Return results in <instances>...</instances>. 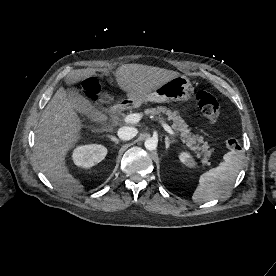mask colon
Segmentation results:
<instances>
[{
	"label": "colon",
	"mask_w": 276,
	"mask_h": 276,
	"mask_svg": "<svg viewBox=\"0 0 276 276\" xmlns=\"http://www.w3.org/2000/svg\"><path fill=\"white\" fill-rule=\"evenodd\" d=\"M79 86L94 96L97 86L93 79L88 78L80 82ZM196 101L202 114L211 122L216 123L220 117V107L217 98L208 90H199L196 94ZM225 147L234 151L239 149V140L230 136L225 140Z\"/></svg>",
	"instance_id": "5ec220e1"
}]
</instances>
